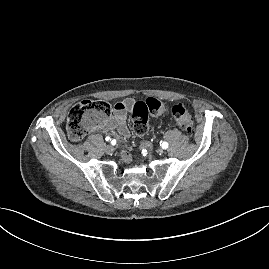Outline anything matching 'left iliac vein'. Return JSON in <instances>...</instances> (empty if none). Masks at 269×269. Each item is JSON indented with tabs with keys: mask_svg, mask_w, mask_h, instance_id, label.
Segmentation results:
<instances>
[{
	"mask_svg": "<svg viewBox=\"0 0 269 269\" xmlns=\"http://www.w3.org/2000/svg\"><path fill=\"white\" fill-rule=\"evenodd\" d=\"M142 146L145 147V148H147L149 151L152 150V147H151V145H150L149 142H143V143H142Z\"/></svg>",
	"mask_w": 269,
	"mask_h": 269,
	"instance_id": "4c4485c4",
	"label": "left iliac vein"
}]
</instances>
